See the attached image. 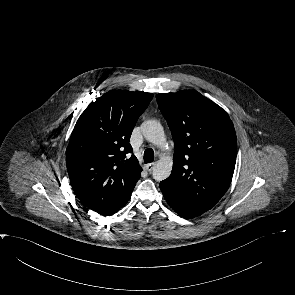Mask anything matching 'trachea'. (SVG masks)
Returning <instances> with one entry per match:
<instances>
[{
    "label": "trachea",
    "instance_id": "3493384b",
    "mask_svg": "<svg viewBox=\"0 0 295 295\" xmlns=\"http://www.w3.org/2000/svg\"><path fill=\"white\" fill-rule=\"evenodd\" d=\"M154 160V151L152 149H146L144 152V163H151Z\"/></svg>",
    "mask_w": 295,
    "mask_h": 295
}]
</instances>
